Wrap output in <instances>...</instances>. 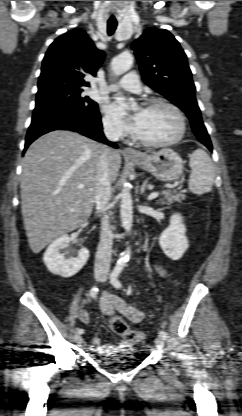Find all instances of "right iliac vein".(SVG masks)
<instances>
[{"label":"right iliac vein","instance_id":"1","mask_svg":"<svg viewBox=\"0 0 242 416\" xmlns=\"http://www.w3.org/2000/svg\"><path fill=\"white\" fill-rule=\"evenodd\" d=\"M103 275H104V270L103 269H96L95 270L96 279H101ZM74 340L77 344H81L82 341H83V338L80 334H76L75 337H74Z\"/></svg>","mask_w":242,"mask_h":416}]
</instances>
